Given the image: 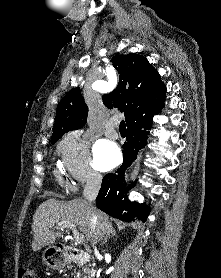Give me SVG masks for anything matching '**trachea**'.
Returning <instances> with one entry per match:
<instances>
[{
    "label": "trachea",
    "instance_id": "1",
    "mask_svg": "<svg viewBox=\"0 0 221 278\" xmlns=\"http://www.w3.org/2000/svg\"><path fill=\"white\" fill-rule=\"evenodd\" d=\"M119 131L121 132H124L126 131V124H125V121H121L120 122V125H119Z\"/></svg>",
    "mask_w": 221,
    "mask_h": 278
}]
</instances>
